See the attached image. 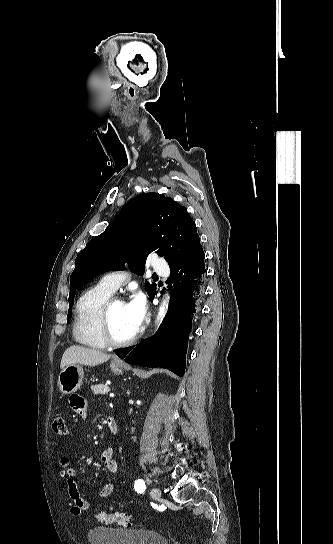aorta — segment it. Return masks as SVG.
Returning <instances> with one entry per match:
<instances>
[{"instance_id": "1", "label": "aorta", "mask_w": 333, "mask_h": 544, "mask_svg": "<svg viewBox=\"0 0 333 544\" xmlns=\"http://www.w3.org/2000/svg\"><path fill=\"white\" fill-rule=\"evenodd\" d=\"M167 301H168V297L166 298V300L163 301V304L162 306L160 307L159 309V313H158V317H157V321H161L162 317L164 316L165 314V311H166V307H167Z\"/></svg>"}]
</instances>
